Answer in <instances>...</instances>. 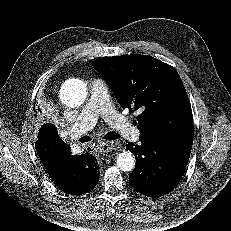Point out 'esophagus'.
<instances>
[{"label": "esophagus", "instance_id": "obj_1", "mask_svg": "<svg viewBox=\"0 0 231 231\" xmlns=\"http://www.w3.org/2000/svg\"><path fill=\"white\" fill-rule=\"evenodd\" d=\"M116 145L117 144L113 141H103L100 144V150L101 152L108 153L114 150Z\"/></svg>", "mask_w": 231, "mask_h": 231}]
</instances>
